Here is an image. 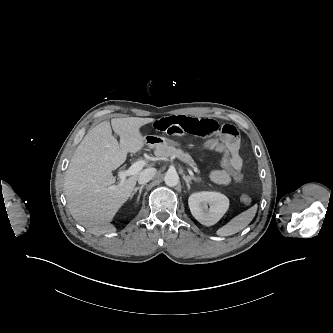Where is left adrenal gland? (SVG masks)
I'll use <instances>...</instances> for the list:
<instances>
[{"label": "left adrenal gland", "instance_id": "a2214340", "mask_svg": "<svg viewBox=\"0 0 333 333\" xmlns=\"http://www.w3.org/2000/svg\"><path fill=\"white\" fill-rule=\"evenodd\" d=\"M183 179L185 180L188 189H190V183H191L192 180H194V181H199L200 180L199 178H195V177H191V176H185V175H183Z\"/></svg>", "mask_w": 333, "mask_h": 333}]
</instances>
